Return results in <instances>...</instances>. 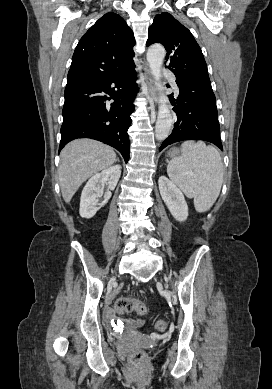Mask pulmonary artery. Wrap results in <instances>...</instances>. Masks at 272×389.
<instances>
[{
  "instance_id": "1",
  "label": "pulmonary artery",
  "mask_w": 272,
  "mask_h": 389,
  "mask_svg": "<svg viewBox=\"0 0 272 389\" xmlns=\"http://www.w3.org/2000/svg\"><path fill=\"white\" fill-rule=\"evenodd\" d=\"M163 73L164 75L169 79V81L171 82L173 88L178 91V87H177V84H176V81H175V75L173 72H171L170 70L168 69H164L163 70Z\"/></svg>"
}]
</instances>
